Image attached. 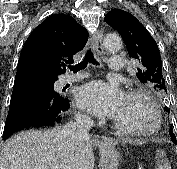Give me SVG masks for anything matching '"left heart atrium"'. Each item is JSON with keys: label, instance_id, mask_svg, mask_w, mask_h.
<instances>
[{"label": "left heart atrium", "instance_id": "39dd6f15", "mask_svg": "<svg viewBox=\"0 0 177 169\" xmlns=\"http://www.w3.org/2000/svg\"><path fill=\"white\" fill-rule=\"evenodd\" d=\"M125 95L114 82L95 80L78 88L76 104L96 116L113 117L122 106Z\"/></svg>", "mask_w": 177, "mask_h": 169}]
</instances>
